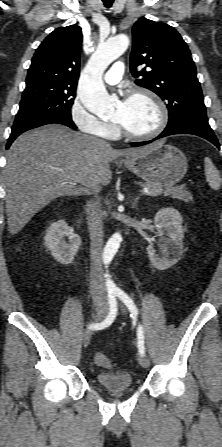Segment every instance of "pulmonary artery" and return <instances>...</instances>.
<instances>
[{
	"instance_id": "e3ab8cb5",
	"label": "pulmonary artery",
	"mask_w": 222,
	"mask_h": 447,
	"mask_svg": "<svg viewBox=\"0 0 222 447\" xmlns=\"http://www.w3.org/2000/svg\"><path fill=\"white\" fill-rule=\"evenodd\" d=\"M123 73H124V64L122 62H117L105 75V82L109 85H115L120 82Z\"/></svg>"
}]
</instances>
